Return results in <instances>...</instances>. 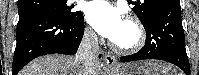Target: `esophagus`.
<instances>
[{
  "label": "esophagus",
  "instance_id": "34e87169",
  "mask_svg": "<svg viewBox=\"0 0 199 75\" xmlns=\"http://www.w3.org/2000/svg\"><path fill=\"white\" fill-rule=\"evenodd\" d=\"M105 65L107 66H117V59L113 54L106 53L104 57Z\"/></svg>",
  "mask_w": 199,
  "mask_h": 75
}]
</instances>
